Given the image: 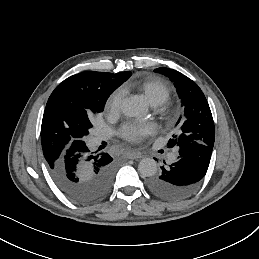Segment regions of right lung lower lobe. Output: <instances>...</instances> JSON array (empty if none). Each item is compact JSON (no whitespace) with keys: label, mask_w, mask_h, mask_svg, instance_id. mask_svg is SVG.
Here are the masks:
<instances>
[{"label":"right lung lower lobe","mask_w":259,"mask_h":259,"mask_svg":"<svg viewBox=\"0 0 259 259\" xmlns=\"http://www.w3.org/2000/svg\"><path fill=\"white\" fill-rule=\"evenodd\" d=\"M89 150L85 142L71 146L49 173L57 187L79 204H91L110 190L115 164L105 152Z\"/></svg>","instance_id":"right-lung-lower-lobe-1"}]
</instances>
